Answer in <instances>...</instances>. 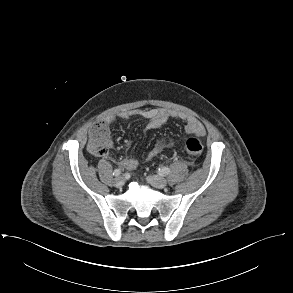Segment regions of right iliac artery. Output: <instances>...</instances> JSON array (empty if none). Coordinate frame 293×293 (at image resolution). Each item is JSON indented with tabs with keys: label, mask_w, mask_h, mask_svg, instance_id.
<instances>
[{
	"label": "right iliac artery",
	"mask_w": 293,
	"mask_h": 293,
	"mask_svg": "<svg viewBox=\"0 0 293 293\" xmlns=\"http://www.w3.org/2000/svg\"><path fill=\"white\" fill-rule=\"evenodd\" d=\"M120 174H121L120 169H115V170L113 171V175H114V176H119Z\"/></svg>",
	"instance_id": "obj_1"
}]
</instances>
